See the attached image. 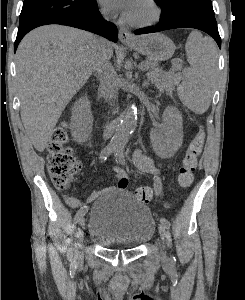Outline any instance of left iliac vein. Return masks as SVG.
<instances>
[{
	"label": "left iliac vein",
	"mask_w": 245,
	"mask_h": 300,
	"mask_svg": "<svg viewBox=\"0 0 245 300\" xmlns=\"http://www.w3.org/2000/svg\"><path fill=\"white\" fill-rule=\"evenodd\" d=\"M158 230H159V234H160L161 240L163 242L162 260L166 261L167 260V256H166L165 247H164V242L166 240V226L164 224L160 223L159 226H158Z\"/></svg>",
	"instance_id": "left-iliac-vein-1"
}]
</instances>
